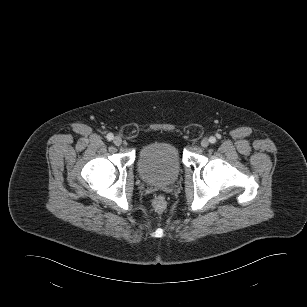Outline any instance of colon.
<instances>
[{
	"instance_id": "5ec220e1",
	"label": "colon",
	"mask_w": 307,
	"mask_h": 307,
	"mask_svg": "<svg viewBox=\"0 0 307 307\" xmlns=\"http://www.w3.org/2000/svg\"><path fill=\"white\" fill-rule=\"evenodd\" d=\"M153 208L157 212H162L166 208V200L163 196H156L153 200Z\"/></svg>"
}]
</instances>
